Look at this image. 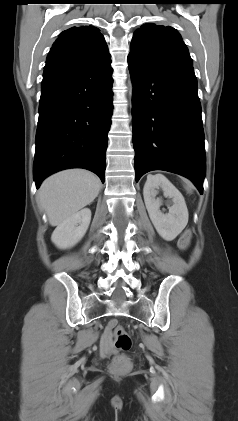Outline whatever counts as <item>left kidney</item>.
Segmentation results:
<instances>
[{"label": "left kidney", "instance_id": "obj_1", "mask_svg": "<svg viewBox=\"0 0 238 421\" xmlns=\"http://www.w3.org/2000/svg\"><path fill=\"white\" fill-rule=\"evenodd\" d=\"M159 188L165 197L172 199L173 205L169 207L168 214L161 212L162 200L156 199ZM143 196L149 217L159 235L167 241L174 240L188 223V209L182 194L165 176L157 174L147 177Z\"/></svg>", "mask_w": 238, "mask_h": 421}]
</instances>
